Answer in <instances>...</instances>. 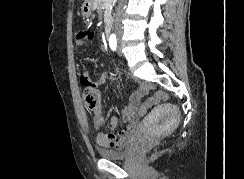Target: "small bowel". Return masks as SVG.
<instances>
[{"mask_svg": "<svg viewBox=\"0 0 244 179\" xmlns=\"http://www.w3.org/2000/svg\"><path fill=\"white\" fill-rule=\"evenodd\" d=\"M83 35L84 39L83 40ZM94 39V32L91 30H82L77 34L76 45L80 48H85L88 42ZM111 73L107 72L95 80L90 71H84L80 74V82L85 86H99L103 85ZM140 94L134 92L130 95L127 105L121 111V119L126 124L125 128L118 130L117 118H112L110 122L109 132H99L96 136V143L104 147H121L124 145L127 137L134 131L138 124L135 110H146L143 106L139 107ZM94 128L100 130L105 124V118L101 113L93 115Z\"/></svg>", "mask_w": 244, "mask_h": 179, "instance_id": "c3829d8e", "label": "small bowel"}]
</instances>
